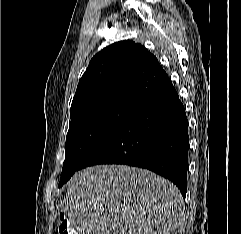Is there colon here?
Wrapping results in <instances>:
<instances>
[{"mask_svg":"<svg viewBox=\"0 0 241 234\" xmlns=\"http://www.w3.org/2000/svg\"><path fill=\"white\" fill-rule=\"evenodd\" d=\"M58 234H73V232L69 226L68 220L64 216L60 217Z\"/></svg>","mask_w":241,"mask_h":234,"instance_id":"colon-1","label":"colon"}]
</instances>
